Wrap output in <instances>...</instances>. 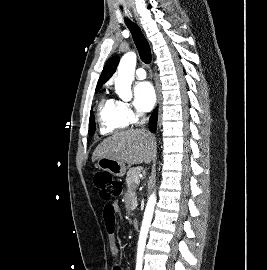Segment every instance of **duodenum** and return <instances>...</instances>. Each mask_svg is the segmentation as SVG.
I'll return each instance as SVG.
<instances>
[{"label": "duodenum", "instance_id": "duodenum-1", "mask_svg": "<svg viewBox=\"0 0 267 270\" xmlns=\"http://www.w3.org/2000/svg\"><path fill=\"white\" fill-rule=\"evenodd\" d=\"M133 227L135 228V229H137L138 227H139V222H138V220H133Z\"/></svg>", "mask_w": 267, "mask_h": 270}]
</instances>
